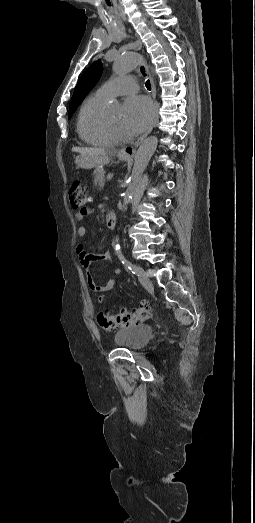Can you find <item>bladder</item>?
<instances>
[{"mask_svg": "<svg viewBox=\"0 0 255 523\" xmlns=\"http://www.w3.org/2000/svg\"><path fill=\"white\" fill-rule=\"evenodd\" d=\"M153 335V327L137 324L121 328L114 335L113 341L119 347L131 350L140 349Z\"/></svg>", "mask_w": 255, "mask_h": 523, "instance_id": "bladder-1", "label": "bladder"}]
</instances>
